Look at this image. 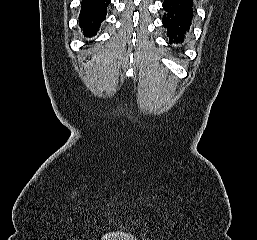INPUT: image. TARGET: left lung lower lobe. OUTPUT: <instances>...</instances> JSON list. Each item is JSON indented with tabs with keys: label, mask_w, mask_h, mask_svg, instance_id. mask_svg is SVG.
I'll return each instance as SVG.
<instances>
[{
	"label": "left lung lower lobe",
	"mask_w": 257,
	"mask_h": 240,
	"mask_svg": "<svg viewBox=\"0 0 257 240\" xmlns=\"http://www.w3.org/2000/svg\"><path fill=\"white\" fill-rule=\"evenodd\" d=\"M162 22L170 44L182 42L193 18V0H164Z\"/></svg>",
	"instance_id": "obj_1"
}]
</instances>
